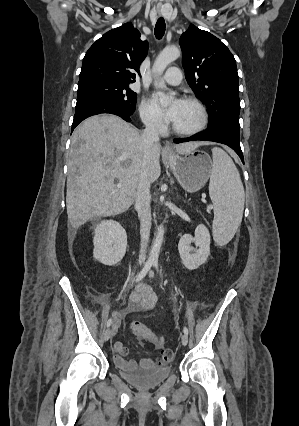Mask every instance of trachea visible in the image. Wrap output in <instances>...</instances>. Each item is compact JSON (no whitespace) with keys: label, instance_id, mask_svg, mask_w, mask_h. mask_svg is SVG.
<instances>
[{"label":"trachea","instance_id":"obj_1","mask_svg":"<svg viewBox=\"0 0 299 426\" xmlns=\"http://www.w3.org/2000/svg\"><path fill=\"white\" fill-rule=\"evenodd\" d=\"M165 27H166L165 20L162 17H160L157 20V23L155 26V36L157 39H161L163 37L165 33Z\"/></svg>","mask_w":299,"mask_h":426}]
</instances>
